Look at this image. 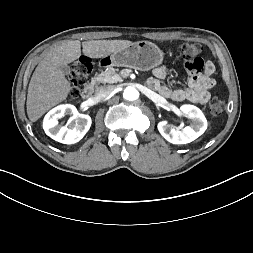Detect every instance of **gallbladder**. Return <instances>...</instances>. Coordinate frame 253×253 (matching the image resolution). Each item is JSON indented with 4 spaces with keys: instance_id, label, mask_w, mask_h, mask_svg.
<instances>
[{
    "instance_id": "bac80fb5",
    "label": "gallbladder",
    "mask_w": 253,
    "mask_h": 253,
    "mask_svg": "<svg viewBox=\"0 0 253 253\" xmlns=\"http://www.w3.org/2000/svg\"><path fill=\"white\" fill-rule=\"evenodd\" d=\"M59 67L65 75L70 74V67L68 65H60Z\"/></svg>"
}]
</instances>
